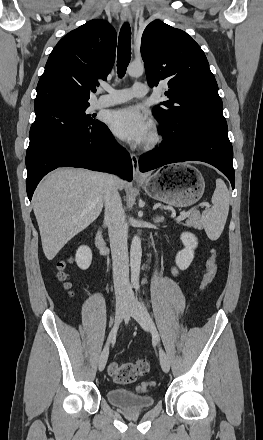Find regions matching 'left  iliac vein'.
Here are the masks:
<instances>
[{
  "mask_svg": "<svg viewBox=\"0 0 263 440\" xmlns=\"http://www.w3.org/2000/svg\"><path fill=\"white\" fill-rule=\"evenodd\" d=\"M127 312L139 323V325L145 330L150 331V324L147 315L141 305L132 296L128 300ZM160 364L164 372L170 370V361L166 353L160 349L159 351Z\"/></svg>",
  "mask_w": 263,
  "mask_h": 440,
  "instance_id": "4c4485c4",
  "label": "left iliac vein"
}]
</instances>
